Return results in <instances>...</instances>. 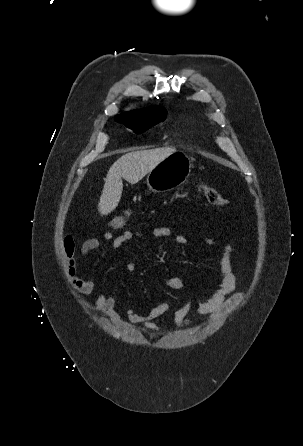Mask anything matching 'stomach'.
<instances>
[{
	"instance_id": "1",
	"label": "stomach",
	"mask_w": 303,
	"mask_h": 446,
	"mask_svg": "<svg viewBox=\"0 0 303 446\" xmlns=\"http://www.w3.org/2000/svg\"><path fill=\"white\" fill-rule=\"evenodd\" d=\"M192 162L188 155L175 152L156 165L147 176L150 192H165L185 183L190 175Z\"/></svg>"
}]
</instances>
